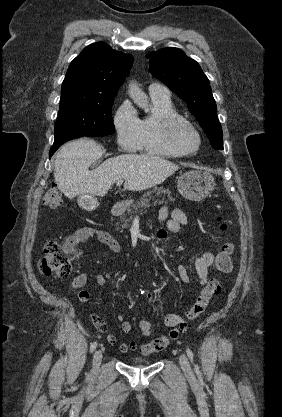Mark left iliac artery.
I'll return each mask as SVG.
<instances>
[{
  "label": "left iliac artery",
  "mask_w": 282,
  "mask_h": 417,
  "mask_svg": "<svg viewBox=\"0 0 282 417\" xmlns=\"http://www.w3.org/2000/svg\"><path fill=\"white\" fill-rule=\"evenodd\" d=\"M186 353H187V355H188V357H189L190 361H191V362H193L194 355H193L192 350H191V349H189V348H186Z\"/></svg>",
  "instance_id": "left-iliac-artery-1"
}]
</instances>
